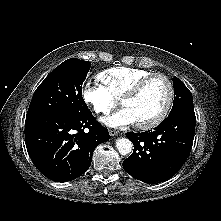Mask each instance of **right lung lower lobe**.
Returning a JSON list of instances; mask_svg holds the SVG:
<instances>
[{
  "label": "right lung lower lobe",
  "mask_w": 221,
  "mask_h": 221,
  "mask_svg": "<svg viewBox=\"0 0 221 221\" xmlns=\"http://www.w3.org/2000/svg\"><path fill=\"white\" fill-rule=\"evenodd\" d=\"M109 138L107 128L95 120L91 111L73 117L36 115L27 117L25 122V140L33 164L43 175L58 182L85 173L95 147Z\"/></svg>",
  "instance_id": "right-lung-lower-lobe-1"
}]
</instances>
